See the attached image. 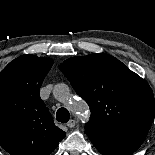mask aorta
Segmentation results:
<instances>
[{
  "mask_svg": "<svg viewBox=\"0 0 155 155\" xmlns=\"http://www.w3.org/2000/svg\"><path fill=\"white\" fill-rule=\"evenodd\" d=\"M69 87L64 83L56 84L53 89V95L57 100L64 101L69 96ZM71 108L74 112L79 113L83 118H87L88 113V107L86 103L82 100L75 101Z\"/></svg>",
  "mask_w": 155,
  "mask_h": 155,
  "instance_id": "762f6f07",
  "label": "aorta"
}]
</instances>
